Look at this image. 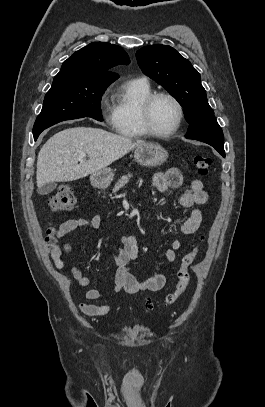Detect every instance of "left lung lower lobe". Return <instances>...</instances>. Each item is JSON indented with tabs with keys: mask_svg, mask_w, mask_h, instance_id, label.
Masks as SVG:
<instances>
[{
	"mask_svg": "<svg viewBox=\"0 0 265 407\" xmlns=\"http://www.w3.org/2000/svg\"><path fill=\"white\" fill-rule=\"evenodd\" d=\"M223 157H225V152H223L222 150H220L217 147H214Z\"/></svg>",
	"mask_w": 265,
	"mask_h": 407,
	"instance_id": "0a47b994",
	"label": "left lung lower lobe"
}]
</instances>
